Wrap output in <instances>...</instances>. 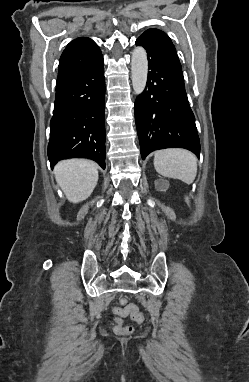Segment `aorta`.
Returning a JSON list of instances; mask_svg holds the SVG:
<instances>
[{
	"label": "aorta",
	"instance_id": "obj_1",
	"mask_svg": "<svg viewBox=\"0 0 249 382\" xmlns=\"http://www.w3.org/2000/svg\"><path fill=\"white\" fill-rule=\"evenodd\" d=\"M148 60L146 50L142 46L133 49L131 58V79L134 93L141 94L147 82Z\"/></svg>",
	"mask_w": 249,
	"mask_h": 382
}]
</instances>
